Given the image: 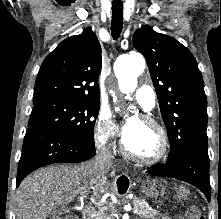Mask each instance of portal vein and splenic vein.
Returning a JSON list of instances; mask_svg holds the SVG:
<instances>
[{
  "instance_id": "obj_1",
  "label": "portal vein and splenic vein",
  "mask_w": 221,
  "mask_h": 219,
  "mask_svg": "<svg viewBox=\"0 0 221 219\" xmlns=\"http://www.w3.org/2000/svg\"><path fill=\"white\" fill-rule=\"evenodd\" d=\"M133 212H134V213H136V212H137V210H136V209H133Z\"/></svg>"
}]
</instances>
